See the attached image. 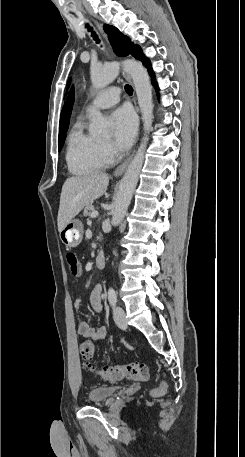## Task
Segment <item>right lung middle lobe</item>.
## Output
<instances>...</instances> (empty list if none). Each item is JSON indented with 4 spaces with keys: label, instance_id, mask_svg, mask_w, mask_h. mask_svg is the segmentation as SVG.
<instances>
[{
    "label": "right lung middle lobe",
    "instance_id": "dd1d6c3e",
    "mask_svg": "<svg viewBox=\"0 0 245 457\" xmlns=\"http://www.w3.org/2000/svg\"><path fill=\"white\" fill-rule=\"evenodd\" d=\"M68 130V127H64V128H60V132H59V151L61 150L63 144H64V140H65V134Z\"/></svg>",
    "mask_w": 245,
    "mask_h": 457
}]
</instances>
